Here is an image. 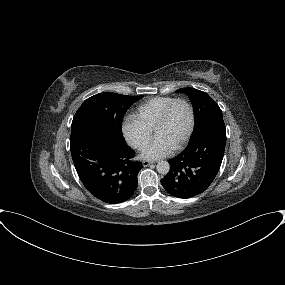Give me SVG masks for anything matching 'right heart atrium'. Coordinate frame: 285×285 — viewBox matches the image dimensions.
<instances>
[{
    "label": "right heart atrium",
    "mask_w": 285,
    "mask_h": 285,
    "mask_svg": "<svg viewBox=\"0 0 285 285\" xmlns=\"http://www.w3.org/2000/svg\"><path fill=\"white\" fill-rule=\"evenodd\" d=\"M121 129L125 140L137 150H142L152 136V130L147 128L133 114L125 116Z\"/></svg>",
    "instance_id": "1"
}]
</instances>
